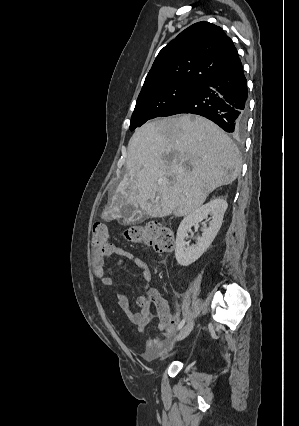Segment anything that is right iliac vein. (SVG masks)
<instances>
[{
	"instance_id": "63e3f726",
	"label": "right iliac vein",
	"mask_w": 299,
	"mask_h": 426,
	"mask_svg": "<svg viewBox=\"0 0 299 426\" xmlns=\"http://www.w3.org/2000/svg\"><path fill=\"white\" fill-rule=\"evenodd\" d=\"M194 327V321L190 320L183 328L182 330L176 335L175 341H181L184 338H186L190 332L192 331Z\"/></svg>"
}]
</instances>
